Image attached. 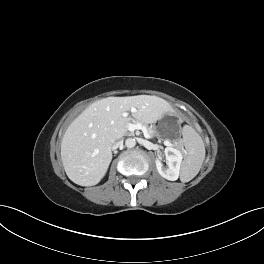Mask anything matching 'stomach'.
Here are the masks:
<instances>
[{
    "mask_svg": "<svg viewBox=\"0 0 264 264\" xmlns=\"http://www.w3.org/2000/svg\"><path fill=\"white\" fill-rule=\"evenodd\" d=\"M180 118L171 113H166L156 126V134L160 138L178 139L181 136L179 127Z\"/></svg>",
    "mask_w": 264,
    "mask_h": 264,
    "instance_id": "1",
    "label": "stomach"
}]
</instances>
